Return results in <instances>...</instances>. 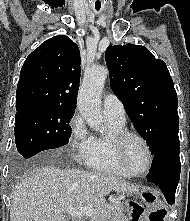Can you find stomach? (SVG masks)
<instances>
[{"label": "stomach", "instance_id": "1", "mask_svg": "<svg viewBox=\"0 0 190 221\" xmlns=\"http://www.w3.org/2000/svg\"><path fill=\"white\" fill-rule=\"evenodd\" d=\"M138 200H121L123 213L130 217H169L157 194L152 190L135 192ZM118 221H167V218H118Z\"/></svg>", "mask_w": 190, "mask_h": 221}]
</instances>
